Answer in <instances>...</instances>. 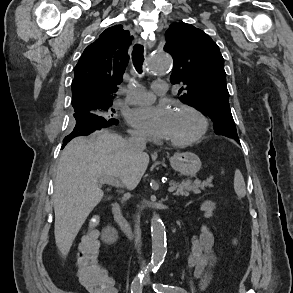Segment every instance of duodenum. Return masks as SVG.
Wrapping results in <instances>:
<instances>
[{"label":"duodenum","mask_w":293,"mask_h":293,"mask_svg":"<svg viewBox=\"0 0 293 293\" xmlns=\"http://www.w3.org/2000/svg\"><path fill=\"white\" fill-rule=\"evenodd\" d=\"M110 211L113 215L115 222L117 223L118 227L120 228L124 236L127 238H131L133 233L132 227L129 221L122 214L121 209L116 202L110 205Z\"/></svg>","instance_id":"obj_1"}]
</instances>
